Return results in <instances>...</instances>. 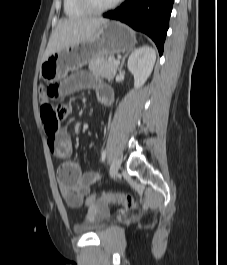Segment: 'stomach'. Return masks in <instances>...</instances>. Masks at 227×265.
Returning a JSON list of instances; mask_svg holds the SVG:
<instances>
[{
	"label": "stomach",
	"mask_w": 227,
	"mask_h": 265,
	"mask_svg": "<svg viewBox=\"0 0 227 265\" xmlns=\"http://www.w3.org/2000/svg\"><path fill=\"white\" fill-rule=\"evenodd\" d=\"M135 43V34L129 27L116 21L108 22L91 39L52 53L41 63L40 75L49 82L61 80L69 71L80 69L92 59L129 51Z\"/></svg>",
	"instance_id": "obj_1"
}]
</instances>
